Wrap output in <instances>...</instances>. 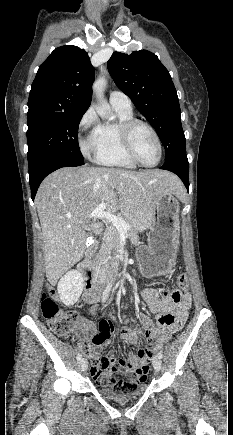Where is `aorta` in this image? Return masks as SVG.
<instances>
[{"label":"aorta","mask_w":233,"mask_h":435,"mask_svg":"<svg viewBox=\"0 0 233 435\" xmlns=\"http://www.w3.org/2000/svg\"><path fill=\"white\" fill-rule=\"evenodd\" d=\"M107 85V80L104 76H100L93 84L92 90L95 95L98 106L96 107L97 113L105 119H114L115 116L111 112L109 104L104 99V91Z\"/></svg>","instance_id":"obj_1"}]
</instances>
